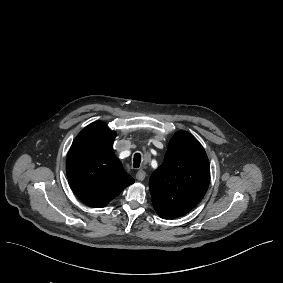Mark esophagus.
I'll return each mask as SVG.
<instances>
[{
	"mask_svg": "<svg viewBox=\"0 0 283 283\" xmlns=\"http://www.w3.org/2000/svg\"><path fill=\"white\" fill-rule=\"evenodd\" d=\"M136 179L139 181H143L144 178L146 177V173L144 170H139L136 175H135Z\"/></svg>",
	"mask_w": 283,
	"mask_h": 283,
	"instance_id": "obj_1",
	"label": "esophagus"
}]
</instances>
